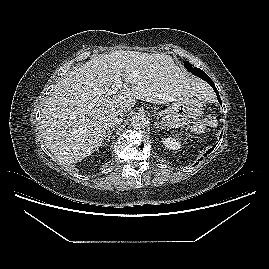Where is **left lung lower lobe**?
Segmentation results:
<instances>
[{"instance_id": "0a47b994", "label": "left lung lower lobe", "mask_w": 269, "mask_h": 269, "mask_svg": "<svg viewBox=\"0 0 269 269\" xmlns=\"http://www.w3.org/2000/svg\"><path fill=\"white\" fill-rule=\"evenodd\" d=\"M194 75H196V76H198V77H200V78H202L203 80H205L206 82H208L211 86H212V88L214 89V91H215V93H216V95H217V98H218V101L220 102V104H222L221 103V99H220V96H219V93H218V91H217V89H216V87H215V84L213 83V81L208 77V75L204 72V71H202V70H200V69H198V71H196L195 73H193ZM222 136V135H221ZM215 147V146H214ZM214 147L213 148H211L210 150H208L207 152H206V154H204V156H206L207 154H209L213 149H214ZM203 158H200V160H202ZM197 164V163H196Z\"/></svg>"}]
</instances>
